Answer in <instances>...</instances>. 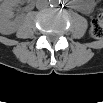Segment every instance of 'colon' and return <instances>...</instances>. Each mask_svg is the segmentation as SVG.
<instances>
[{
  "instance_id": "obj_1",
  "label": "colon",
  "mask_w": 103,
  "mask_h": 103,
  "mask_svg": "<svg viewBox=\"0 0 103 103\" xmlns=\"http://www.w3.org/2000/svg\"><path fill=\"white\" fill-rule=\"evenodd\" d=\"M89 35L93 39H100L103 37V15H97L91 22Z\"/></svg>"
}]
</instances>
